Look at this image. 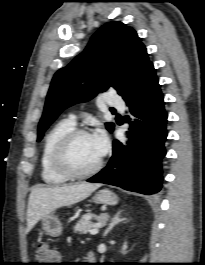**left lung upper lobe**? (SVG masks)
<instances>
[{
    "label": "left lung upper lobe",
    "mask_w": 205,
    "mask_h": 265,
    "mask_svg": "<svg viewBox=\"0 0 205 265\" xmlns=\"http://www.w3.org/2000/svg\"><path fill=\"white\" fill-rule=\"evenodd\" d=\"M151 66L146 48L133 28L119 21L103 25L85 50L55 73L38 125L37 141L58 115L75 103L88 101L110 87L126 97ZM113 127V123H106L108 130Z\"/></svg>",
    "instance_id": "5c2ea615"
}]
</instances>
